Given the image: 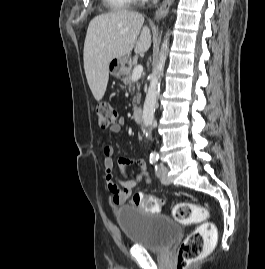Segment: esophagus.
Returning <instances> with one entry per match:
<instances>
[{
  "mask_svg": "<svg viewBox=\"0 0 265 269\" xmlns=\"http://www.w3.org/2000/svg\"><path fill=\"white\" fill-rule=\"evenodd\" d=\"M173 2L174 0H164L161 6L157 9L154 18L156 20L164 18L167 15L170 6L172 5Z\"/></svg>",
  "mask_w": 265,
  "mask_h": 269,
  "instance_id": "obj_1",
  "label": "esophagus"
}]
</instances>
